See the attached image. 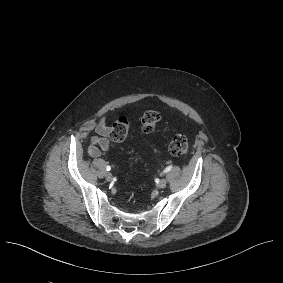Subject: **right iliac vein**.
Instances as JSON below:
<instances>
[{"mask_svg": "<svg viewBox=\"0 0 283 283\" xmlns=\"http://www.w3.org/2000/svg\"><path fill=\"white\" fill-rule=\"evenodd\" d=\"M105 178H106L107 181H111L112 178H113V176H112V174H111L110 172H107V173L105 174Z\"/></svg>", "mask_w": 283, "mask_h": 283, "instance_id": "right-iliac-vein-1", "label": "right iliac vein"}]
</instances>
